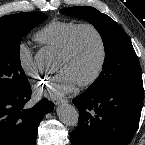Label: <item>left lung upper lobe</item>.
I'll use <instances>...</instances> for the list:
<instances>
[{
	"instance_id": "obj_1",
	"label": "left lung upper lobe",
	"mask_w": 145,
	"mask_h": 145,
	"mask_svg": "<svg viewBox=\"0 0 145 145\" xmlns=\"http://www.w3.org/2000/svg\"><path fill=\"white\" fill-rule=\"evenodd\" d=\"M60 12L87 20L94 25L102 37L105 48L102 72L87 91L99 92L121 85L142 82L138 57L130 38L117 22L89 6L64 8Z\"/></svg>"
}]
</instances>
